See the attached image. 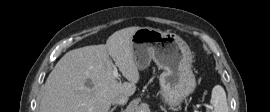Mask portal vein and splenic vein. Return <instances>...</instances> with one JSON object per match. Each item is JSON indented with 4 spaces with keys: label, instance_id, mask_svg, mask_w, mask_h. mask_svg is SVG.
<instances>
[{
    "label": "portal vein and splenic vein",
    "instance_id": "1",
    "mask_svg": "<svg viewBox=\"0 0 270 112\" xmlns=\"http://www.w3.org/2000/svg\"><path fill=\"white\" fill-rule=\"evenodd\" d=\"M113 68H114V70H113V76H114V78L119 79V73H118L117 68L115 66ZM206 107L209 108L208 105H206ZM195 112H198V111H195Z\"/></svg>",
    "mask_w": 270,
    "mask_h": 112
}]
</instances>
